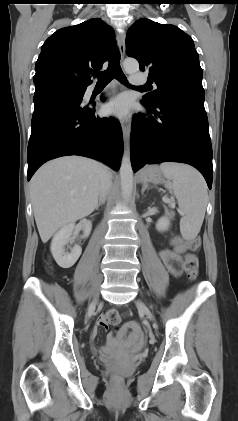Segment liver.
Here are the masks:
<instances>
[{"label": "liver", "mask_w": 238, "mask_h": 421, "mask_svg": "<svg viewBox=\"0 0 238 421\" xmlns=\"http://www.w3.org/2000/svg\"><path fill=\"white\" fill-rule=\"evenodd\" d=\"M99 185V163L89 158H57L37 170L30 182V193L43 243L58 229L94 211Z\"/></svg>", "instance_id": "liver-1"}]
</instances>
